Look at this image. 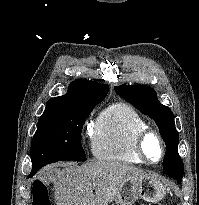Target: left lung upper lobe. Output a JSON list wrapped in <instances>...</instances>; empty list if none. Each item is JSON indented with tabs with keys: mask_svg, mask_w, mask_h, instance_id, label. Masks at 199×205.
Here are the masks:
<instances>
[{
	"mask_svg": "<svg viewBox=\"0 0 199 205\" xmlns=\"http://www.w3.org/2000/svg\"><path fill=\"white\" fill-rule=\"evenodd\" d=\"M115 92L133 104L141 113L155 120L166 144L163 172L181 183L184 164L178 154L179 134L175 128L174 114L169 107L162 105L151 87L145 85H121L114 87Z\"/></svg>",
	"mask_w": 199,
	"mask_h": 205,
	"instance_id": "left-lung-upper-lobe-1",
	"label": "left lung upper lobe"
}]
</instances>
